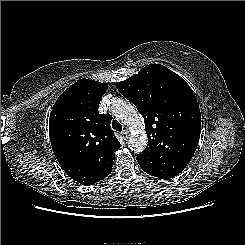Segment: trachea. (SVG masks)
<instances>
[{
	"instance_id": "3493384b",
	"label": "trachea",
	"mask_w": 245,
	"mask_h": 245,
	"mask_svg": "<svg viewBox=\"0 0 245 245\" xmlns=\"http://www.w3.org/2000/svg\"><path fill=\"white\" fill-rule=\"evenodd\" d=\"M112 127H113V129L114 130H116V131H122V125L120 124V122H118L117 120H114L113 122H112Z\"/></svg>"
}]
</instances>
